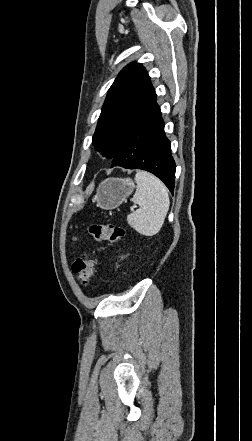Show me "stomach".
I'll return each mask as SVG.
<instances>
[{
    "label": "stomach",
    "instance_id": "obj_1",
    "mask_svg": "<svg viewBox=\"0 0 252 441\" xmlns=\"http://www.w3.org/2000/svg\"><path fill=\"white\" fill-rule=\"evenodd\" d=\"M134 188L131 179L108 178L99 185L94 200L98 207L111 210L125 201Z\"/></svg>",
    "mask_w": 252,
    "mask_h": 441
}]
</instances>
